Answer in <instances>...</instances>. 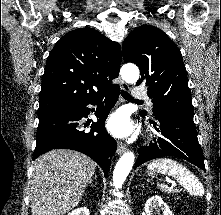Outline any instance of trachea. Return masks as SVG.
<instances>
[{
    "instance_id": "1",
    "label": "trachea",
    "mask_w": 221,
    "mask_h": 215,
    "mask_svg": "<svg viewBox=\"0 0 221 215\" xmlns=\"http://www.w3.org/2000/svg\"><path fill=\"white\" fill-rule=\"evenodd\" d=\"M121 95L126 100L143 103V101L134 99L128 92H126L124 90L121 91Z\"/></svg>"
}]
</instances>
